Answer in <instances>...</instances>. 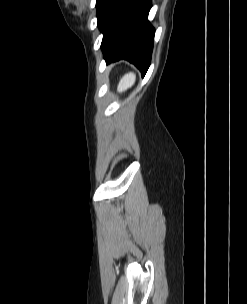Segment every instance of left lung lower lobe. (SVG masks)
I'll list each match as a JSON object with an SVG mask.
<instances>
[{"mask_svg":"<svg viewBox=\"0 0 247 304\" xmlns=\"http://www.w3.org/2000/svg\"><path fill=\"white\" fill-rule=\"evenodd\" d=\"M151 0H101L98 27L107 63L120 59L133 63L145 76L151 60L154 28L148 21Z\"/></svg>","mask_w":247,"mask_h":304,"instance_id":"left-lung-lower-lobe-1","label":"left lung lower lobe"}]
</instances>
